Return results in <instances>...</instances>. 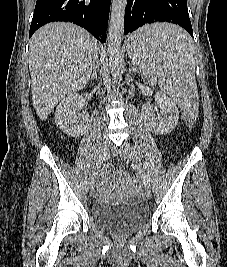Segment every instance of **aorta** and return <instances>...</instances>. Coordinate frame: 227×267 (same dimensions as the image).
<instances>
[{"label": "aorta", "mask_w": 227, "mask_h": 267, "mask_svg": "<svg viewBox=\"0 0 227 267\" xmlns=\"http://www.w3.org/2000/svg\"><path fill=\"white\" fill-rule=\"evenodd\" d=\"M126 5L127 0H113L112 2L108 32V54L113 79H117L120 74L121 36L124 27Z\"/></svg>", "instance_id": "1"}]
</instances>
